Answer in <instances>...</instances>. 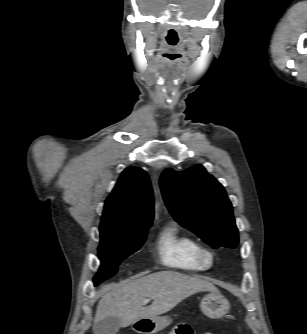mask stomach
Listing matches in <instances>:
<instances>
[{
    "mask_svg": "<svg viewBox=\"0 0 307 334\" xmlns=\"http://www.w3.org/2000/svg\"><path fill=\"white\" fill-rule=\"evenodd\" d=\"M200 308L207 317L219 319L228 313L230 304L219 292H210L202 298ZM171 322L172 319L169 316H157L150 319H141L135 323V327L144 334H153L165 329Z\"/></svg>",
    "mask_w": 307,
    "mask_h": 334,
    "instance_id": "0dacf381",
    "label": "stomach"
}]
</instances>
